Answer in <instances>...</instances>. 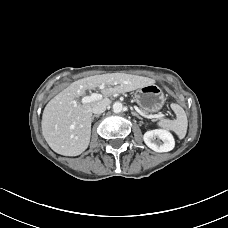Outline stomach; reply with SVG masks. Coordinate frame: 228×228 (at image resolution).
I'll return each mask as SVG.
<instances>
[{"label": "stomach", "mask_w": 228, "mask_h": 228, "mask_svg": "<svg viewBox=\"0 0 228 228\" xmlns=\"http://www.w3.org/2000/svg\"><path fill=\"white\" fill-rule=\"evenodd\" d=\"M135 101L146 113H155L161 110L165 103L162 90L155 84L142 86L135 93Z\"/></svg>", "instance_id": "stomach-1"}]
</instances>
